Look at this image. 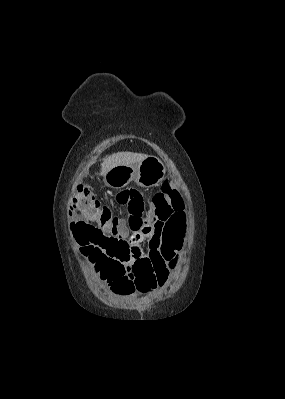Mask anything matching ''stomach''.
I'll return each mask as SVG.
<instances>
[{
	"label": "stomach",
	"mask_w": 285,
	"mask_h": 399,
	"mask_svg": "<svg viewBox=\"0 0 285 399\" xmlns=\"http://www.w3.org/2000/svg\"><path fill=\"white\" fill-rule=\"evenodd\" d=\"M166 167L155 156H147L138 165H118L110 169L104 176L106 186L113 189L126 187L131 181L145 188L157 186L165 177Z\"/></svg>",
	"instance_id": "0dacf381"
}]
</instances>
